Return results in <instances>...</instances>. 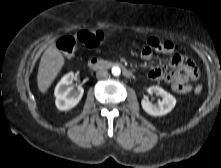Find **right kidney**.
<instances>
[{
	"instance_id": "1",
	"label": "right kidney",
	"mask_w": 221,
	"mask_h": 168,
	"mask_svg": "<svg viewBox=\"0 0 221 168\" xmlns=\"http://www.w3.org/2000/svg\"><path fill=\"white\" fill-rule=\"evenodd\" d=\"M73 79L74 73L69 72L60 80L55 88V104L61 111H67L74 108L83 96L84 90L82 87L73 90L71 86Z\"/></svg>"
}]
</instances>
